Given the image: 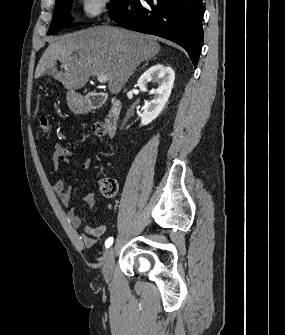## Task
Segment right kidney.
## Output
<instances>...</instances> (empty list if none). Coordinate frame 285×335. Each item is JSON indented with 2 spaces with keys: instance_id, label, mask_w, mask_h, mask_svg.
Segmentation results:
<instances>
[{
  "instance_id": "right-kidney-1",
  "label": "right kidney",
  "mask_w": 285,
  "mask_h": 335,
  "mask_svg": "<svg viewBox=\"0 0 285 335\" xmlns=\"http://www.w3.org/2000/svg\"><path fill=\"white\" fill-rule=\"evenodd\" d=\"M175 80V74L172 68L163 66V64H155L151 66L147 72L140 76L137 86L141 92H147L148 82H157L159 84L156 90H150V94H154L151 102H148L143 114H141V126H147L152 120H155L162 112L168 98L171 94Z\"/></svg>"
}]
</instances>
